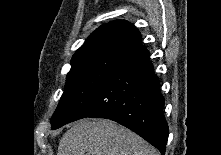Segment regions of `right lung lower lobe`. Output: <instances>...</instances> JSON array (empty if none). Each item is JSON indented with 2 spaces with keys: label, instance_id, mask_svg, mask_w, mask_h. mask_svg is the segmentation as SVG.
<instances>
[{
  "label": "right lung lower lobe",
  "instance_id": "98d812e1",
  "mask_svg": "<svg viewBox=\"0 0 221 155\" xmlns=\"http://www.w3.org/2000/svg\"><path fill=\"white\" fill-rule=\"evenodd\" d=\"M164 98L149 52L141 44L117 63L81 118H108L133 130L165 155Z\"/></svg>",
  "mask_w": 221,
  "mask_h": 155
}]
</instances>
